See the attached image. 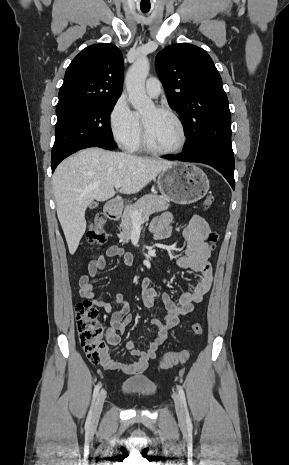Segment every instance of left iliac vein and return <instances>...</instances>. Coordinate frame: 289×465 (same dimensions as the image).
<instances>
[{
	"instance_id": "1",
	"label": "left iliac vein",
	"mask_w": 289,
	"mask_h": 465,
	"mask_svg": "<svg viewBox=\"0 0 289 465\" xmlns=\"http://www.w3.org/2000/svg\"><path fill=\"white\" fill-rule=\"evenodd\" d=\"M173 400L175 403V410L178 416V419L181 423H185V413H184V408H183V403L180 398V396L177 393L173 394Z\"/></svg>"
}]
</instances>
